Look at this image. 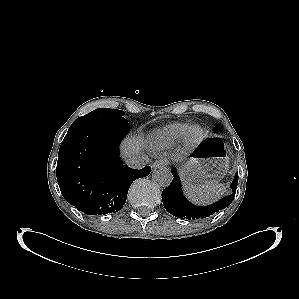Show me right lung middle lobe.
Returning <instances> with one entry per match:
<instances>
[{
  "mask_svg": "<svg viewBox=\"0 0 299 299\" xmlns=\"http://www.w3.org/2000/svg\"><path fill=\"white\" fill-rule=\"evenodd\" d=\"M123 115L124 111L121 110L110 108H98L84 116L77 118L72 123L70 128H75L78 126H91L127 122Z\"/></svg>",
  "mask_w": 299,
  "mask_h": 299,
  "instance_id": "1",
  "label": "right lung middle lobe"
}]
</instances>
